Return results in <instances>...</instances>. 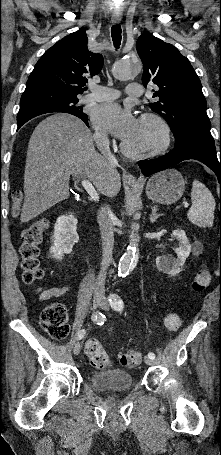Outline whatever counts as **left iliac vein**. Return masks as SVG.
<instances>
[{
    "label": "left iliac vein",
    "instance_id": "4c4485c4",
    "mask_svg": "<svg viewBox=\"0 0 221 455\" xmlns=\"http://www.w3.org/2000/svg\"><path fill=\"white\" fill-rule=\"evenodd\" d=\"M100 307H101L103 310L108 311V310H109L108 301H107L106 299H104V300L102 301V303L100 304ZM144 361H145V363H146L147 365H152V364H154V360L151 359L149 356H146V357L144 358Z\"/></svg>",
    "mask_w": 221,
    "mask_h": 455
}]
</instances>
